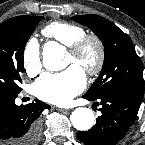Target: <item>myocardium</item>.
Returning a JSON list of instances; mask_svg holds the SVG:
<instances>
[{
	"instance_id": "1",
	"label": "myocardium",
	"mask_w": 145,
	"mask_h": 145,
	"mask_svg": "<svg viewBox=\"0 0 145 145\" xmlns=\"http://www.w3.org/2000/svg\"><path fill=\"white\" fill-rule=\"evenodd\" d=\"M93 45L96 49V62L92 66H84L83 69L89 76H98L105 65L106 49L102 39L95 34H84L76 39L69 46V53L75 58L79 59L87 45Z\"/></svg>"
}]
</instances>
